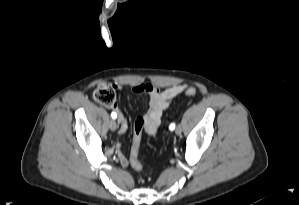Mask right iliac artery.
I'll return each instance as SVG.
<instances>
[{
    "mask_svg": "<svg viewBox=\"0 0 299 205\" xmlns=\"http://www.w3.org/2000/svg\"><path fill=\"white\" fill-rule=\"evenodd\" d=\"M111 117H112L113 119H116L117 114H116L115 112H112V113H111Z\"/></svg>",
    "mask_w": 299,
    "mask_h": 205,
    "instance_id": "obj_1",
    "label": "right iliac artery"
}]
</instances>
